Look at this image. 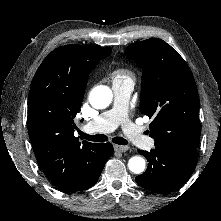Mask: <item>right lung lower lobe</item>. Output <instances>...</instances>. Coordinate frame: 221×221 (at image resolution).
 <instances>
[{
  "label": "right lung lower lobe",
  "instance_id": "98d812e1",
  "mask_svg": "<svg viewBox=\"0 0 221 221\" xmlns=\"http://www.w3.org/2000/svg\"><path fill=\"white\" fill-rule=\"evenodd\" d=\"M112 153L113 146L111 143L99 144L93 163L89 164L83 181L74 190L69 192H77L93 186L97 182L105 163Z\"/></svg>",
  "mask_w": 221,
  "mask_h": 221
}]
</instances>
